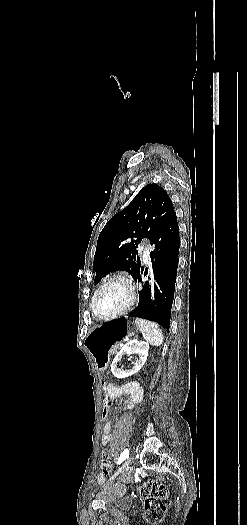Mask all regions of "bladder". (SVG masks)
Segmentation results:
<instances>
[{
    "label": "bladder",
    "instance_id": "bladder-1",
    "mask_svg": "<svg viewBox=\"0 0 247 525\" xmlns=\"http://www.w3.org/2000/svg\"><path fill=\"white\" fill-rule=\"evenodd\" d=\"M108 505H114L122 508H129L134 504V499L128 495H120L119 497H114L107 501Z\"/></svg>",
    "mask_w": 247,
    "mask_h": 525
}]
</instances>
